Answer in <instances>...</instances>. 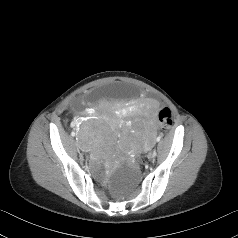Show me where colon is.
<instances>
[{
    "label": "colon",
    "instance_id": "1",
    "mask_svg": "<svg viewBox=\"0 0 238 238\" xmlns=\"http://www.w3.org/2000/svg\"><path fill=\"white\" fill-rule=\"evenodd\" d=\"M157 120L163 130L168 129L172 124V115L168 108L162 107L156 113ZM114 167V165H113ZM114 176V171L112 169H107L105 174L101 177L100 183L106 186L110 179Z\"/></svg>",
    "mask_w": 238,
    "mask_h": 238
}]
</instances>
